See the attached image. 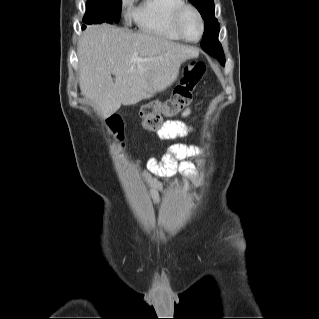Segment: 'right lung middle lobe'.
I'll return each mask as SVG.
<instances>
[{
    "label": "right lung middle lobe",
    "instance_id": "1",
    "mask_svg": "<svg viewBox=\"0 0 319 319\" xmlns=\"http://www.w3.org/2000/svg\"><path fill=\"white\" fill-rule=\"evenodd\" d=\"M121 4L122 0H88L83 22L86 24L117 23L120 18Z\"/></svg>",
    "mask_w": 319,
    "mask_h": 319
}]
</instances>
